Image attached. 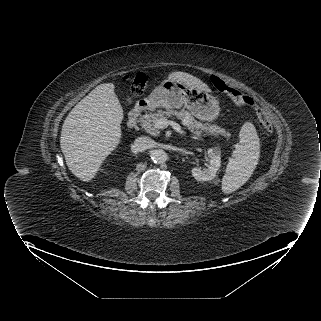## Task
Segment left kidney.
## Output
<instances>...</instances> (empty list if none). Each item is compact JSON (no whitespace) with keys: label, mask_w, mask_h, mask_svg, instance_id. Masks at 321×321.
Masks as SVG:
<instances>
[{"label":"left kidney","mask_w":321,"mask_h":321,"mask_svg":"<svg viewBox=\"0 0 321 321\" xmlns=\"http://www.w3.org/2000/svg\"><path fill=\"white\" fill-rule=\"evenodd\" d=\"M207 153L210 158L208 168L201 169L196 167L191 170L193 177L198 181H211L215 178L221 166L220 150L217 147L209 148Z\"/></svg>","instance_id":"5707ae66"}]
</instances>
